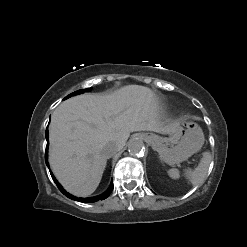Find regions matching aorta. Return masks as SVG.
<instances>
[{
    "label": "aorta",
    "mask_w": 247,
    "mask_h": 247,
    "mask_svg": "<svg viewBox=\"0 0 247 247\" xmlns=\"http://www.w3.org/2000/svg\"><path fill=\"white\" fill-rule=\"evenodd\" d=\"M144 145L140 139H132L128 144V151L131 156H138L143 153Z\"/></svg>",
    "instance_id": "762f6f07"
}]
</instances>
